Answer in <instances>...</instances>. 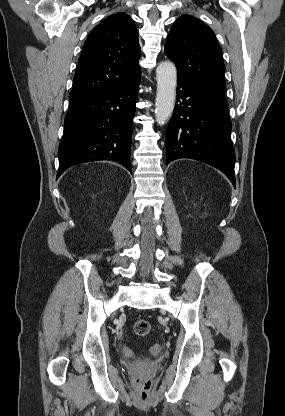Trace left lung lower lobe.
Segmentation results:
<instances>
[{
	"label": "left lung lower lobe",
	"mask_w": 285,
	"mask_h": 416,
	"mask_svg": "<svg viewBox=\"0 0 285 416\" xmlns=\"http://www.w3.org/2000/svg\"><path fill=\"white\" fill-rule=\"evenodd\" d=\"M176 105L166 135L167 164L195 159L221 170L236 187L235 152L225 98L178 80Z\"/></svg>",
	"instance_id": "0a47b994"
}]
</instances>
